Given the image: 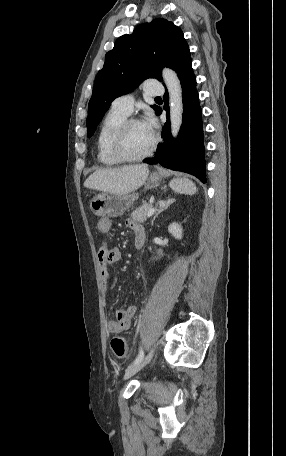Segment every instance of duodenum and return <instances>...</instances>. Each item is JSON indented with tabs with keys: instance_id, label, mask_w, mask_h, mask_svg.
<instances>
[{
	"instance_id": "duodenum-1",
	"label": "duodenum",
	"mask_w": 286,
	"mask_h": 456,
	"mask_svg": "<svg viewBox=\"0 0 286 456\" xmlns=\"http://www.w3.org/2000/svg\"><path fill=\"white\" fill-rule=\"evenodd\" d=\"M145 239H146L145 234H142V235H140V236H137V237L135 238V241H134V243H135V248L141 249V248L144 246V244H145Z\"/></svg>"
}]
</instances>
